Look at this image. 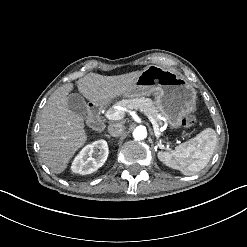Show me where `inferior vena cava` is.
I'll return each instance as SVG.
<instances>
[{
	"label": "inferior vena cava",
	"mask_w": 247,
	"mask_h": 247,
	"mask_svg": "<svg viewBox=\"0 0 247 247\" xmlns=\"http://www.w3.org/2000/svg\"><path fill=\"white\" fill-rule=\"evenodd\" d=\"M108 132L114 137H119L125 132V126L121 122H114L109 125Z\"/></svg>",
	"instance_id": "602c4592"
}]
</instances>
